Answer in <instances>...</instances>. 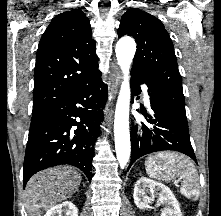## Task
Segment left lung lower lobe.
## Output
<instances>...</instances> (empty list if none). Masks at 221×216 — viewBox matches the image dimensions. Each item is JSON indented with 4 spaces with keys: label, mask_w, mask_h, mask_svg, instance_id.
<instances>
[{
    "label": "left lung lower lobe",
    "mask_w": 221,
    "mask_h": 216,
    "mask_svg": "<svg viewBox=\"0 0 221 216\" xmlns=\"http://www.w3.org/2000/svg\"><path fill=\"white\" fill-rule=\"evenodd\" d=\"M143 83L149 88L152 114L149 115L142 111L141 113L144 114L147 122L151 124V126H146L142 123V137H137L136 127H132L131 163L128 169L138 158L146 154L164 150L184 153L197 163L190 143L187 119L172 110L158 93L149 86L148 81L139 71L131 72V89L133 96L141 92L139 85Z\"/></svg>",
    "instance_id": "obj_1"
}]
</instances>
